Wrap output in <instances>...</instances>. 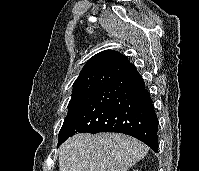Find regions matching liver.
Listing matches in <instances>:
<instances>
[{
    "instance_id": "1",
    "label": "liver",
    "mask_w": 199,
    "mask_h": 171,
    "mask_svg": "<svg viewBox=\"0 0 199 171\" xmlns=\"http://www.w3.org/2000/svg\"><path fill=\"white\" fill-rule=\"evenodd\" d=\"M141 141L118 133H81L59 148V171H127L146 156Z\"/></svg>"
}]
</instances>
